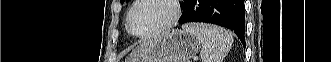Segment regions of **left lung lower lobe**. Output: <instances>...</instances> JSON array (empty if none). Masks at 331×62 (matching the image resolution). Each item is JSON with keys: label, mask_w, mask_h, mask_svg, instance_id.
<instances>
[{"label": "left lung lower lobe", "mask_w": 331, "mask_h": 62, "mask_svg": "<svg viewBox=\"0 0 331 62\" xmlns=\"http://www.w3.org/2000/svg\"><path fill=\"white\" fill-rule=\"evenodd\" d=\"M185 14L179 24L213 23L231 29L245 44V12L243 0H187Z\"/></svg>", "instance_id": "0a47b994"}]
</instances>
